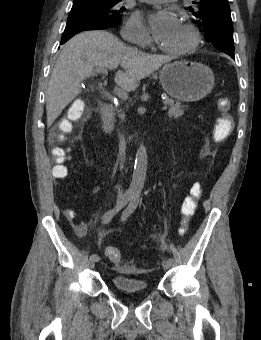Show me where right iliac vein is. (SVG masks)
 Instances as JSON below:
<instances>
[{"label": "right iliac vein", "instance_id": "right-iliac-vein-1", "mask_svg": "<svg viewBox=\"0 0 261 340\" xmlns=\"http://www.w3.org/2000/svg\"><path fill=\"white\" fill-rule=\"evenodd\" d=\"M94 266H95V262H94L92 259H88V261H87V267H88L89 269H93Z\"/></svg>", "mask_w": 261, "mask_h": 340}]
</instances>
